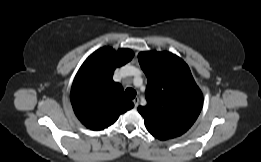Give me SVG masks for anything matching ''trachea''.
<instances>
[{
  "label": "trachea",
  "mask_w": 261,
  "mask_h": 162,
  "mask_svg": "<svg viewBox=\"0 0 261 162\" xmlns=\"http://www.w3.org/2000/svg\"><path fill=\"white\" fill-rule=\"evenodd\" d=\"M136 96V91L132 88H127L125 90V97L128 99V100H132L134 99Z\"/></svg>",
  "instance_id": "3493384b"
}]
</instances>
